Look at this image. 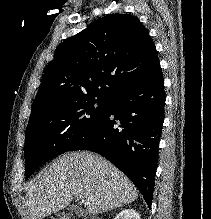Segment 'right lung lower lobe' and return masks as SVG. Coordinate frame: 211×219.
I'll return each instance as SVG.
<instances>
[{
    "mask_svg": "<svg viewBox=\"0 0 211 219\" xmlns=\"http://www.w3.org/2000/svg\"><path fill=\"white\" fill-rule=\"evenodd\" d=\"M164 105V79L157 62L110 99L104 117L69 151L89 150L107 158L129 177L150 208Z\"/></svg>",
    "mask_w": 211,
    "mask_h": 219,
    "instance_id": "right-lung-lower-lobe-1",
    "label": "right lung lower lobe"
}]
</instances>
